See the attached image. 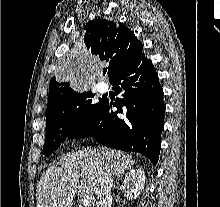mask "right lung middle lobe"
Wrapping results in <instances>:
<instances>
[{
  "label": "right lung middle lobe",
  "instance_id": "obj_1",
  "mask_svg": "<svg viewBox=\"0 0 220 207\" xmlns=\"http://www.w3.org/2000/svg\"><path fill=\"white\" fill-rule=\"evenodd\" d=\"M93 96L91 91L76 92L46 114V142L42 150L44 155L54 152L66 138H71L93 117L104 100L94 103Z\"/></svg>",
  "mask_w": 220,
  "mask_h": 207
}]
</instances>
